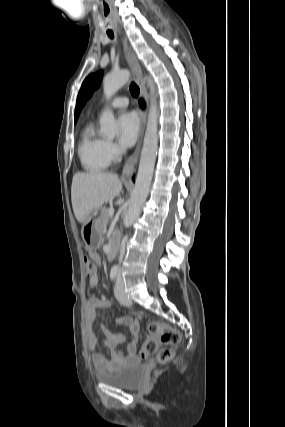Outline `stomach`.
Returning <instances> with one entry per match:
<instances>
[{
	"instance_id": "1",
	"label": "stomach",
	"mask_w": 285,
	"mask_h": 427,
	"mask_svg": "<svg viewBox=\"0 0 285 427\" xmlns=\"http://www.w3.org/2000/svg\"><path fill=\"white\" fill-rule=\"evenodd\" d=\"M102 212L103 209L101 208L91 212L82 227V238L89 248H97L101 243L102 232L99 228V223Z\"/></svg>"
}]
</instances>
